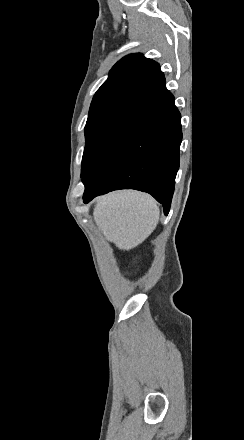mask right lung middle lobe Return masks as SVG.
I'll return each mask as SVG.
<instances>
[{"instance_id": "right-lung-middle-lobe-1", "label": "right lung middle lobe", "mask_w": 244, "mask_h": 440, "mask_svg": "<svg viewBox=\"0 0 244 440\" xmlns=\"http://www.w3.org/2000/svg\"><path fill=\"white\" fill-rule=\"evenodd\" d=\"M139 100L140 98L136 97L121 96L91 103L85 126L86 145L82 159V177L108 134Z\"/></svg>"}]
</instances>
